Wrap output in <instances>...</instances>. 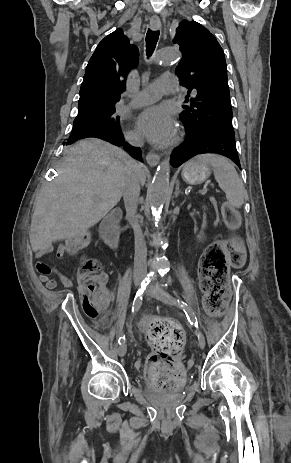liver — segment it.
Segmentation results:
<instances>
[{
  "mask_svg": "<svg viewBox=\"0 0 291 463\" xmlns=\"http://www.w3.org/2000/svg\"><path fill=\"white\" fill-rule=\"evenodd\" d=\"M131 158L101 139L81 140L65 151L57 177L39 193L31 221L34 251H52V243L73 238L97 224L120 201ZM139 182L146 181L139 165Z\"/></svg>",
  "mask_w": 291,
  "mask_h": 463,
  "instance_id": "6515ba94",
  "label": "liver"
}]
</instances>
